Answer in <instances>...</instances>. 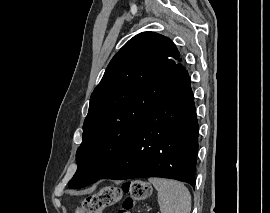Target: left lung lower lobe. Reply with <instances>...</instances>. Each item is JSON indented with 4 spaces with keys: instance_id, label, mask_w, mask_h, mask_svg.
Segmentation results:
<instances>
[{
    "instance_id": "obj_1",
    "label": "left lung lower lobe",
    "mask_w": 270,
    "mask_h": 213,
    "mask_svg": "<svg viewBox=\"0 0 270 213\" xmlns=\"http://www.w3.org/2000/svg\"><path fill=\"white\" fill-rule=\"evenodd\" d=\"M198 122L185 71L140 122L104 179L163 177L195 186Z\"/></svg>"
}]
</instances>
